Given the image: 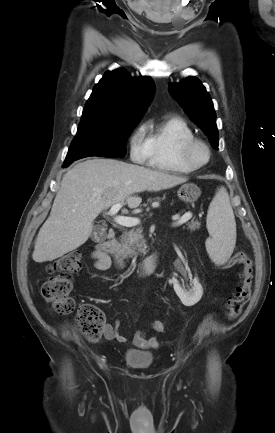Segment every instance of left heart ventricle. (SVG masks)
Segmentation results:
<instances>
[{"label":"left heart ventricle","mask_w":275,"mask_h":433,"mask_svg":"<svg viewBox=\"0 0 275 433\" xmlns=\"http://www.w3.org/2000/svg\"><path fill=\"white\" fill-rule=\"evenodd\" d=\"M195 158L198 161H204L206 159V153H205V151L202 148L198 147L195 150Z\"/></svg>","instance_id":"left-heart-ventricle-1"}]
</instances>
